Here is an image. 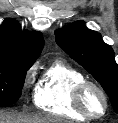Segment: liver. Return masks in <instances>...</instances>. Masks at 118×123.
I'll list each match as a JSON object with an SVG mask.
<instances>
[{"mask_svg": "<svg viewBox=\"0 0 118 123\" xmlns=\"http://www.w3.org/2000/svg\"><path fill=\"white\" fill-rule=\"evenodd\" d=\"M0 123H68L65 120L48 114H22L0 111Z\"/></svg>", "mask_w": 118, "mask_h": 123, "instance_id": "1", "label": "liver"}]
</instances>
